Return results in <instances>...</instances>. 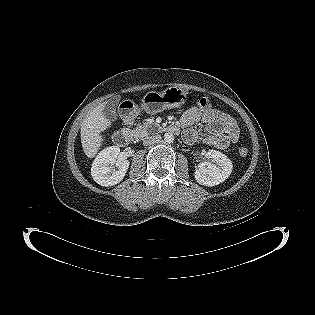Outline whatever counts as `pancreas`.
<instances>
[{
  "mask_svg": "<svg viewBox=\"0 0 315 315\" xmlns=\"http://www.w3.org/2000/svg\"><path fill=\"white\" fill-rule=\"evenodd\" d=\"M154 124L151 122H143L142 124H137L136 128L130 130V136L136 140L143 138L149 134V128H151Z\"/></svg>",
  "mask_w": 315,
  "mask_h": 315,
  "instance_id": "obj_1",
  "label": "pancreas"
}]
</instances>
